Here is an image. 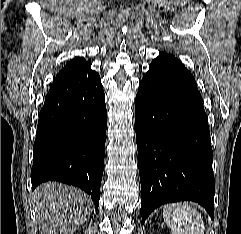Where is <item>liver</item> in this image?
<instances>
[{"label": "liver", "instance_id": "1", "mask_svg": "<svg viewBox=\"0 0 241 234\" xmlns=\"http://www.w3.org/2000/svg\"><path fill=\"white\" fill-rule=\"evenodd\" d=\"M32 199L41 234H72L93 209V202L86 193L57 182L41 184Z\"/></svg>", "mask_w": 241, "mask_h": 234}]
</instances>
